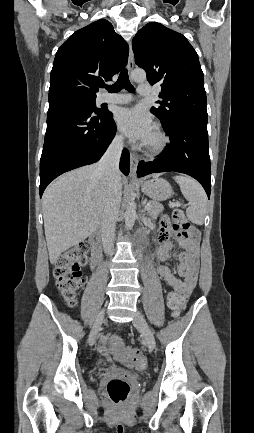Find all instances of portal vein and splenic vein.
<instances>
[{
  "instance_id": "18ae733b",
  "label": "portal vein and splenic vein",
  "mask_w": 254,
  "mask_h": 433,
  "mask_svg": "<svg viewBox=\"0 0 254 433\" xmlns=\"http://www.w3.org/2000/svg\"><path fill=\"white\" fill-rule=\"evenodd\" d=\"M175 205H179V204H178V203H174V204H172V206H175ZM149 207H150V205H149V204H146L145 209L148 210Z\"/></svg>"
}]
</instances>
